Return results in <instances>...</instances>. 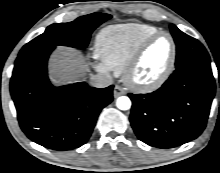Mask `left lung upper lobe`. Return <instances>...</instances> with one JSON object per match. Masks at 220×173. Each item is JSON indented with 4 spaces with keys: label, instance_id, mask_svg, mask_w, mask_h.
Returning <instances> with one entry per match:
<instances>
[{
    "label": "left lung upper lobe",
    "instance_id": "left-lung-upper-lobe-1",
    "mask_svg": "<svg viewBox=\"0 0 220 173\" xmlns=\"http://www.w3.org/2000/svg\"><path fill=\"white\" fill-rule=\"evenodd\" d=\"M171 33L177 45L176 69L199 62H210L204 46L195 38L180 31L174 24L170 25Z\"/></svg>",
    "mask_w": 220,
    "mask_h": 173
}]
</instances>
